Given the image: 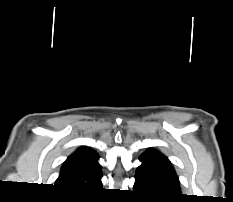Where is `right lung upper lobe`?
<instances>
[{"label":"right lung upper lobe","instance_id":"obj_1","mask_svg":"<svg viewBox=\"0 0 233 202\" xmlns=\"http://www.w3.org/2000/svg\"><path fill=\"white\" fill-rule=\"evenodd\" d=\"M98 158L94 150L87 147L78 148L63 164L56 187L79 195L99 189L102 185V173Z\"/></svg>","mask_w":233,"mask_h":202}]
</instances>
